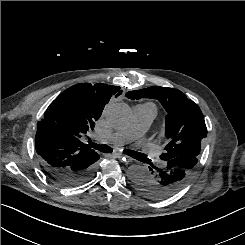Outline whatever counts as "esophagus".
<instances>
[{
    "label": "esophagus",
    "mask_w": 245,
    "mask_h": 245,
    "mask_svg": "<svg viewBox=\"0 0 245 245\" xmlns=\"http://www.w3.org/2000/svg\"><path fill=\"white\" fill-rule=\"evenodd\" d=\"M113 156L118 158V159H122L123 162L126 163V164L131 162V158L126 156V155H123V154H120V153H114Z\"/></svg>",
    "instance_id": "obj_1"
}]
</instances>
